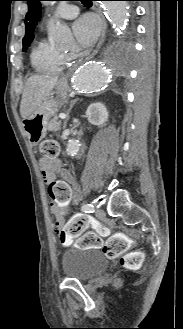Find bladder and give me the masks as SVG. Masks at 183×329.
Returning <instances> with one entry per match:
<instances>
[{
	"instance_id": "obj_1",
	"label": "bladder",
	"mask_w": 183,
	"mask_h": 329,
	"mask_svg": "<svg viewBox=\"0 0 183 329\" xmlns=\"http://www.w3.org/2000/svg\"><path fill=\"white\" fill-rule=\"evenodd\" d=\"M62 271L65 276L79 281H87L108 266V260L97 248H68L62 252Z\"/></svg>"
}]
</instances>
